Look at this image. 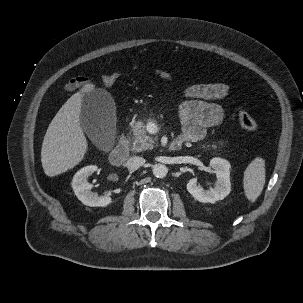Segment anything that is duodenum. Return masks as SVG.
Segmentation results:
<instances>
[{
	"instance_id": "410a0bca",
	"label": "duodenum",
	"mask_w": 303,
	"mask_h": 303,
	"mask_svg": "<svg viewBox=\"0 0 303 303\" xmlns=\"http://www.w3.org/2000/svg\"><path fill=\"white\" fill-rule=\"evenodd\" d=\"M183 146V141L181 139H177L173 141L170 145L172 150H179ZM129 148L126 140L120 141L110 152L109 160L111 164L115 166L121 165L128 157Z\"/></svg>"
}]
</instances>
